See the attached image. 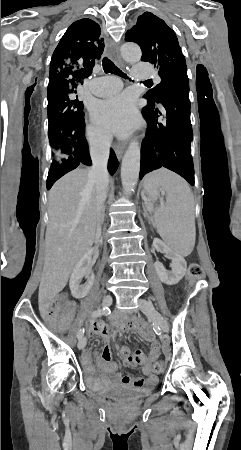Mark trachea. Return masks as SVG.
I'll use <instances>...</instances> for the list:
<instances>
[{
	"mask_svg": "<svg viewBox=\"0 0 241 450\" xmlns=\"http://www.w3.org/2000/svg\"><path fill=\"white\" fill-rule=\"evenodd\" d=\"M102 66L105 73H114L115 75L127 78V75H125L118 67H116V65H114V63L107 57L103 58Z\"/></svg>",
	"mask_w": 241,
	"mask_h": 450,
	"instance_id": "1",
	"label": "trachea"
}]
</instances>
